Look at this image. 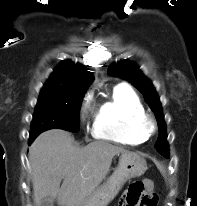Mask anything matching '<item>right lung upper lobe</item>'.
Returning a JSON list of instances; mask_svg holds the SVG:
<instances>
[{
	"instance_id": "right-lung-upper-lobe-1",
	"label": "right lung upper lobe",
	"mask_w": 197,
	"mask_h": 206,
	"mask_svg": "<svg viewBox=\"0 0 197 206\" xmlns=\"http://www.w3.org/2000/svg\"><path fill=\"white\" fill-rule=\"evenodd\" d=\"M93 79L85 66L65 60L56 67L41 92L85 93Z\"/></svg>"
}]
</instances>
